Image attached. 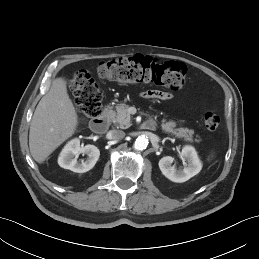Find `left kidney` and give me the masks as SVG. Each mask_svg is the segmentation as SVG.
<instances>
[{"label": "left kidney", "instance_id": "obj_1", "mask_svg": "<svg viewBox=\"0 0 259 259\" xmlns=\"http://www.w3.org/2000/svg\"><path fill=\"white\" fill-rule=\"evenodd\" d=\"M181 158L184 161L183 169H176L172 166L174 158L171 156L161 158L158 163L162 174L169 180L177 183L189 180L202 169V163L194 147L190 145L184 146L181 152Z\"/></svg>", "mask_w": 259, "mask_h": 259}]
</instances>
